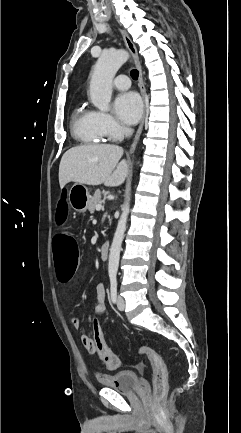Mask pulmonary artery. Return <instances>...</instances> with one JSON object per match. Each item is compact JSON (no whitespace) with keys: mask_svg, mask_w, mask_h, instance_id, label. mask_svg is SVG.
Here are the masks:
<instances>
[{"mask_svg":"<svg viewBox=\"0 0 241 433\" xmlns=\"http://www.w3.org/2000/svg\"><path fill=\"white\" fill-rule=\"evenodd\" d=\"M115 88L118 90H126L130 87V79L127 75H119L113 82Z\"/></svg>","mask_w":241,"mask_h":433,"instance_id":"e3ab8cb5","label":"pulmonary artery"}]
</instances>
